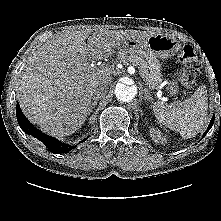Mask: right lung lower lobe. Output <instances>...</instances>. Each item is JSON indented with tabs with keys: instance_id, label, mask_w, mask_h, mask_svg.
Returning a JSON list of instances; mask_svg holds the SVG:
<instances>
[{
	"instance_id": "98d812e1",
	"label": "right lung lower lobe",
	"mask_w": 221,
	"mask_h": 221,
	"mask_svg": "<svg viewBox=\"0 0 221 221\" xmlns=\"http://www.w3.org/2000/svg\"><path fill=\"white\" fill-rule=\"evenodd\" d=\"M16 115H17L18 124L20 125L22 130L25 133H27V134L33 136L34 138H37L41 142H43L49 151H51L53 153H68L69 151H71L72 149L77 147V145L71 146L68 144H64L61 141H59L55 138H52V137L42 133L38 129H36L29 122V120L23 115L19 104L16 105ZM86 139L87 138L83 139L82 142H84Z\"/></svg>"
}]
</instances>
